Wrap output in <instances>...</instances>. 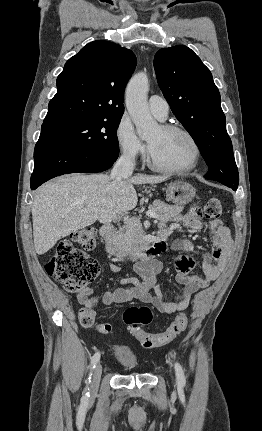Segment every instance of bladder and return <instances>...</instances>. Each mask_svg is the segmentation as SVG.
I'll list each match as a JSON object with an SVG mask.
<instances>
[{
    "label": "bladder",
    "instance_id": "bladder-1",
    "mask_svg": "<svg viewBox=\"0 0 262 431\" xmlns=\"http://www.w3.org/2000/svg\"><path fill=\"white\" fill-rule=\"evenodd\" d=\"M117 357L122 365L128 369L135 368L138 365V359L135 352L126 345H117Z\"/></svg>",
    "mask_w": 262,
    "mask_h": 431
}]
</instances>
